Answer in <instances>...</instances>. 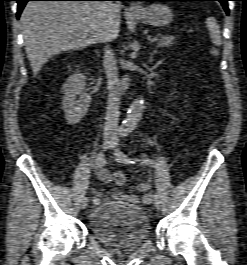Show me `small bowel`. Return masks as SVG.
Segmentation results:
<instances>
[{"label":"small bowel","mask_w":247,"mask_h":265,"mask_svg":"<svg viewBox=\"0 0 247 265\" xmlns=\"http://www.w3.org/2000/svg\"><path fill=\"white\" fill-rule=\"evenodd\" d=\"M98 179L105 184L111 182V175L105 168L98 169L97 171ZM150 184L148 182H141L136 186V190L141 194H125L122 192H112L110 196L115 200L125 201L131 204H150L152 202V194L149 192ZM97 196L104 197L105 194L97 191H93Z\"/></svg>","instance_id":"small-bowel-1"}]
</instances>
